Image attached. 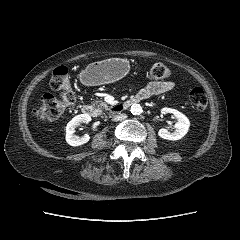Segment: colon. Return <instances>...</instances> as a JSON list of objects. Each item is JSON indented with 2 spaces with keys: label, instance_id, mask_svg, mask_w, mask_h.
Returning <instances> with one entry per match:
<instances>
[{
  "label": "colon",
  "instance_id": "5ec220e1",
  "mask_svg": "<svg viewBox=\"0 0 240 240\" xmlns=\"http://www.w3.org/2000/svg\"><path fill=\"white\" fill-rule=\"evenodd\" d=\"M149 76L155 81L164 80L170 76V69L165 63L158 61L151 65ZM50 85L59 94L57 97L46 95L42 100V107L48 118L55 119L75 102L69 72L65 66H59L53 71ZM189 100L199 112H203L207 107V98L201 87L190 90Z\"/></svg>",
  "mask_w": 240,
  "mask_h": 240
}]
</instances>
